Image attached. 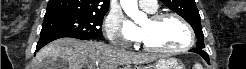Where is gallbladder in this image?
I'll return each mask as SVG.
<instances>
[{"label":"gallbladder","instance_id":"1","mask_svg":"<svg viewBox=\"0 0 246 69\" xmlns=\"http://www.w3.org/2000/svg\"><path fill=\"white\" fill-rule=\"evenodd\" d=\"M46 61H50V57H48L47 59H46ZM48 67H54L53 66V64H48ZM55 69H66V66L65 65H63V64H58V65H55V67H54Z\"/></svg>","mask_w":246,"mask_h":69}]
</instances>
